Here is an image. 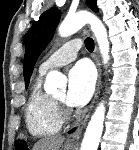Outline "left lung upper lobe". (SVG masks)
Returning a JSON list of instances; mask_svg holds the SVG:
<instances>
[{
	"label": "left lung upper lobe",
	"mask_w": 139,
	"mask_h": 150,
	"mask_svg": "<svg viewBox=\"0 0 139 150\" xmlns=\"http://www.w3.org/2000/svg\"><path fill=\"white\" fill-rule=\"evenodd\" d=\"M93 11H98L96 0H87ZM61 13L57 8L45 11L28 30L25 37L26 51L23 61V74L26 87L29 84L30 76L34 65L41 51L52 39L54 31L59 23Z\"/></svg>",
	"instance_id": "5c2ea615"
}]
</instances>
